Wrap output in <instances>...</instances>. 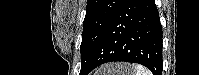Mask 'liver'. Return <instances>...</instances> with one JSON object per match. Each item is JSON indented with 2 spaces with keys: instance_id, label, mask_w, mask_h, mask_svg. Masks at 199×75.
Masks as SVG:
<instances>
[{
  "instance_id": "6515ba94",
  "label": "liver",
  "mask_w": 199,
  "mask_h": 75,
  "mask_svg": "<svg viewBox=\"0 0 199 75\" xmlns=\"http://www.w3.org/2000/svg\"><path fill=\"white\" fill-rule=\"evenodd\" d=\"M111 70L114 71L115 69H114V68H111ZM101 73H103V72H101ZM110 73H111V71H110Z\"/></svg>"
}]
</instances>
